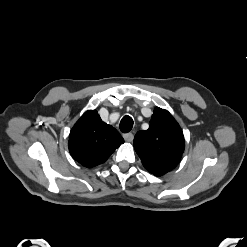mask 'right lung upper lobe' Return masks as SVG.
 <instances>
[{
	"label": "right lung upper lobe",
	"instance_id": "obj_1",
	"mask_svg": "<svg viewBox=\"0 0 247 247\" xmlns=\"http://www.w3.org/2000/svg\"><path fill=\"white\" fill-rule=\"evenodd\" d=\"M124 139L104 123L96 110L85 112L70 131L68 147L72 157L85 167L104 163Z\"/></svg>",
	"mask_w": 247,
	"mask_h": 247
}]
</instances>
